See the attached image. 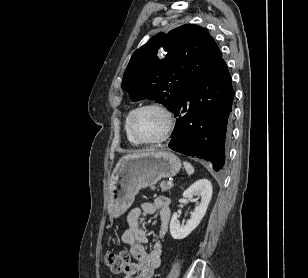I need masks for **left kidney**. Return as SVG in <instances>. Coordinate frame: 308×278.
I'll list each match as a JSON object with an SVG mask.
<instances>
[{"label":"left kidney","mask_w":308,"mask_h":278,"mask_svg":"<svg viewBox=\"0 0 308 278\" xmlns=\"http://www.w3.org/2000/svg\"><path fill=\"white\" fill-rule=\"evenodd\" d=\"M193 196L201 197L200 203L195 207L191 213V218L185 225H180L177 213H174L170 222V233L174 239L180 240L187 237L203 219L210 200L212 198V184L207 179H200L193 183L183 193L186 199H193Z\"/></svg>","instance_id":"1"}]
</instances>
